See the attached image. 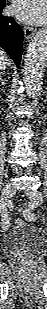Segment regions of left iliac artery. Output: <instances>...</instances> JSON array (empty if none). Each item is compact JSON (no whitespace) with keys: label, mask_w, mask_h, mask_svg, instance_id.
<instances>
[{"label":"left iliac artery","mask_w":47,"mask_h":309,"mask_svg":"<svg viewBox=\"0 0 47 309\" xmlns=\"http://www.w3.org/2000/svg\"><path fill=\"white\" fill-rule=\"evenodd\" d=\"M31 219H33V220H35L36 219V217L32 214V217H31Z\"/></svg>","instance_id":"left-iliac-artery-1"}]
</instances>
